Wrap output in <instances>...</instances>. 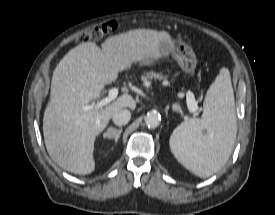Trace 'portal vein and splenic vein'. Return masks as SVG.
<instances>
[{"mask_svg":"<svg viewBox=\"0 0 275 215\" xmlns=\"http://www.w3.org/2000/svg\"><path fill=\"white\" fill-rule=\"evenodd\" d=\"M117 95H118V88H112L109 90L108 96L106 98L102 99L101 101L97 102L96 104L83 106V110L88 111L90 109H93L94 107L101 108V107L109 104L112 100H114L117 97ZM186 102H187V107H188L189 111L195 112L198 110V105H197V102L195 100L193 93H191V92L187 93Z\"/></svg>","mask_w":275,"mask_h":215,"instance_id":"1","label":"portal vein and splenic vein"}]
</instances>
